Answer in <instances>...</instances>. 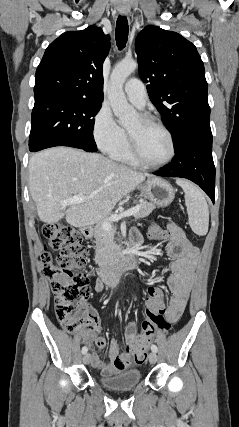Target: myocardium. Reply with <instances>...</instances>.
I'll use <instances>...</instances> for the list:
<instances>
[{"label": "myocardium", "instance_id": "f54148a6", "mask_svg": "<svg viewBox=\"0 0 239 427\" xmlns=\"http://www.w3.org/2000/svg\"><path fill=\"white\" fill-rule=\"evenodd\" d=\"M139 118L143 123L147 125L155 126L160 130H162L167 135L171 145V152L169 157L162 162H159V163L148 162L141 155L136 139L127 130L126 137H127V143H128V149H129L130 155L132 156V158L136 163L147 168H161L168 165L176 156V143H175V139L172 132L163 123H161L160 121H158L157 119H155L154 117L148 114L141 113L139 114Z\"/></svg>", "mask_w": 239, "mask_h": 427}]
</instances>
